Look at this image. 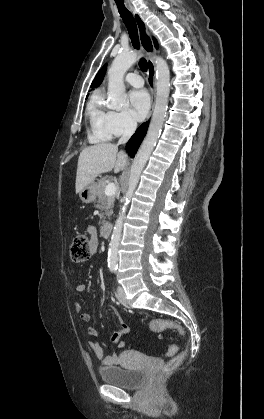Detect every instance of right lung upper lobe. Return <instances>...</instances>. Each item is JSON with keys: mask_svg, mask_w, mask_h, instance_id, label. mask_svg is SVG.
Segmentation results:
<instances>
[{"mask_svg": "<svg viewBox=\"0 0 264 419\" xmlns=\"http://www.w3.org/2000/svg\"><path fill=\"white\" fill-rule=\"evenodd\" d=\"M154 45H155L156 48H158V44H157V42L155 40H154ZM106 66H107V64H105L99 70V72L97 73L96 77L94 78V80H93V82L91 84V87H96V86H98L103 81V78H104V75H105V72H106Z\"/></svg>", "mask_w": 264, "mask_h": 419, "instance_id": "cb5924a9", "label": "right lung upper lobe"}]
</instances>
